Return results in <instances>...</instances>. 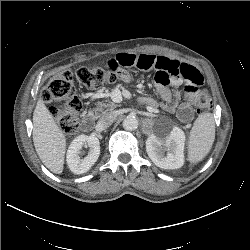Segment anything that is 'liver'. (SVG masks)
<instances>
[{
	"mask_svg": "<svg viewBox=\"0 0 250 250\" xmlns=\"http://www.w3.org/2000/svg\"><path fill=\"white\" fill-rule=\"evenodd\" d=\"M32 135L35 150L42 163L51 172L61 174L66 152V138L41 97L33 113Z\"/></svg>",
	"mask_w": 250,
	"mask_h": 250,
	"instance_id": "6515ba94",
	"label": "liver"
}]
</instances>
